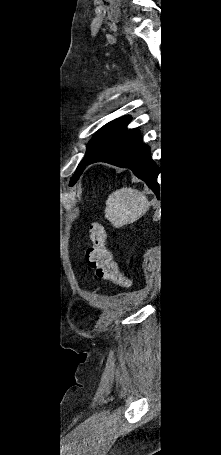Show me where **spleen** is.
<instances>
[{
	"mask_svg": "<svg viewBox=\"0 0 221 455\" xmlns=\"http://www.w3.org/2000/svg\"><path fill=\"white\" fill-rule=\"evenodd\" d=\"M149 209L147 197L140 191L123 187L106 200L105 217L113 226L122 227L138 220Z\"/></svg>",
	"mask_w": 221,
	"mask_h": 455,
	"instance_id": "spleen-1",
	"label": "spleen"
}]
</instances>
